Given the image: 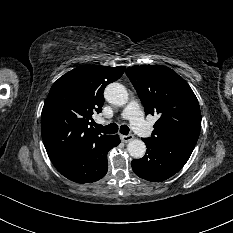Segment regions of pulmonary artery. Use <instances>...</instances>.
I'll return each mask as SVG.
<instances>
[{"label": "pulmonary artery", "instance_id": "obj_1", "mask_svg": "<svg viewBox=\"0 0 233 233\" xmlns=\"http://www.w3.org/2000/svg\"><path fill=\"white\" fill-rule=\"evenodd\" d=\"M122 117L130 121L132 128L139 134L147 136L150 128L144 120L140 104L137 100H130L124 107ZM102 122V120H100Z\"/></svg>", "mask_w": 233, "mask_h": 233}]
</instances>
